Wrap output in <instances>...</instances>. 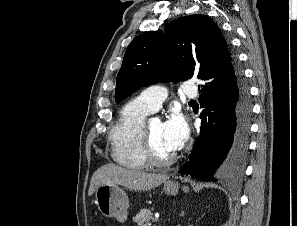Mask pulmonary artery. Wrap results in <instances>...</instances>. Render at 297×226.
I'll use <instances>...</instances> for the list:
<instances>
[{"mask_svg": "<svg viewBox=\"0 0 297 226\" xmlns=\"http://www.w3.org/2000/svg\"><path fill=\"white\" fill-rule=\"evenodd\" d=\"M184 95L188 98L197 97V87L189 82L184 87ZM166 97L167 91L164 87L151 86L139 93L138 100L141 101L151 112H155L160 108Z\"/></svg>", "mask_w": 297, "mask_h": 226, "instance_id": "pulmonary-artery-1", "label": "pulmonary artery"}]
</instances>
